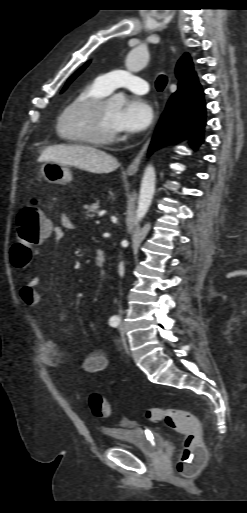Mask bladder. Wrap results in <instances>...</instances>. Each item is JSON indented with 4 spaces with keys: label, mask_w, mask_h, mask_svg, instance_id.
I'll return each instance as SVG.
<instances>
[{
    "label": "bladder",
    "mask_w": 247,
    "mask_h": 513,
    "mask_svg": "<svg viewBox=\"0 0 247 513\" xmlns=\"http://www.w3.org/2000/svg\"><path fill=\"white\" fill-rule=\"evenodd\" d=\"M104 434L112 438L111 447L136 450L144 455H155L164 448V438L157 432L142 428H109Z\"/></svg>",
    "instance_id": "obj_1"
}]
</instances>
